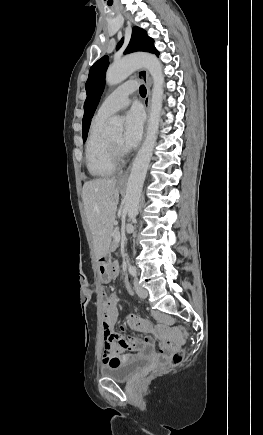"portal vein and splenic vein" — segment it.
Wrapping results in <instances>:
<instances>
[{"mask_svg":"<svg viewBox=\"0 0 263 435\" xmlns=\"http://www.w3.org/2000/svg\"><path fill=\"white\" fill-rule=\"evenodd\" d=\"M120 238H121V236H120V232H119V231H116V233H115V240H116V241H119Z\"/></svg>","mask_w":263,"mask_h":435,"instance_id":"obj_1","label":"portal vein and splenic vein"}]
</instances>
